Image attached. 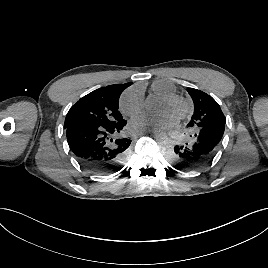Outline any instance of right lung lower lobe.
Wrapping results in <instances>:
<instances>
[{
    "label": "right lung lower lobe",
    "mask_w": 268,
    "mask_h": 268,
    "mask_svg": "<svg viewBox=\"0 0 268 268\" xmlns=\"http://www.w3.org/2000/svg\"><path fill=\"white\" fill-rule=\"evenodd\" d=\"M126 124L124 119L111 126L71 124L65 128L70 150L82 166L94 173L116 172L131 144L129 138L121 135Z\"/></svg>",
    "instance_id": "obj_1"
}]
</instances>
